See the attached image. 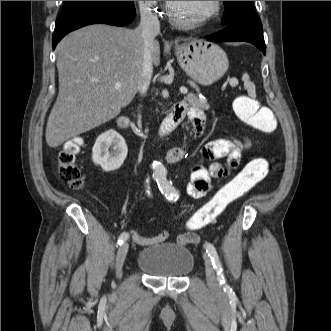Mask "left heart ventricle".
<instances>
[{
  "label": "left heart ventricle",
  "instance_id": "1",
  "mask_svg": "<svg viewBox=\"0 0 331 331\" xmlns=\"http://www.w3.org/2000/svg\"><path fill=\"white\" fill-rule=\"evenodd\" d=\"M213 1H173L171 7L176 18L182 21L194 20L209 12Z\"/></svg>",
  "mask_w": 331,
  "mask_h": 331
}]
</instances>
